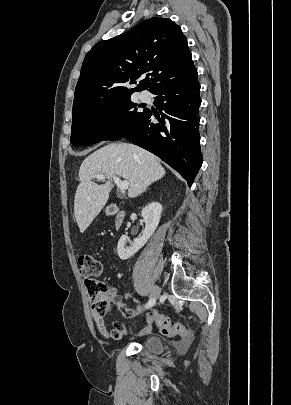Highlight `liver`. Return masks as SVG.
Segmentation results:
<instances>
[{
    "label": "liver",
    "mask_w": 291,
    "mask_h": 405,
    "mask_svg": "<svg viewBox=\"0 0 291 405\" xmlns=\"http://www.w3.org/2000/svg\"><path fill=\"white\" fill-rule=\"evenodd\" d=\"M98 174L107 178L105 184L93 181ZM164 175L159 159L133 144L111 143L90 154L80 166V184L74 199V216L80 232L88 228L108 201L113 176L128 181V196L135 198Z\"/></svg>",
    "instance_id": "liver-1"
}]
</instances>
